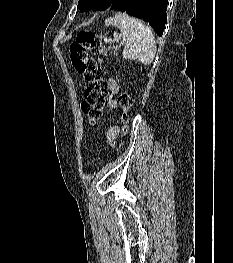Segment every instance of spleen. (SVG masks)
<instances>
[{
	"label": "spleen",
	"mask_w": 233,
	"mask_h": 263,
	"mask_svg": "<svg viewBox=\"0 0 233 263\" xmlns=\"http://www.w3.org/2000/svg\"><path fill=\"white\" fill-rule=\"evenodd\" d=\"M105 25L119 28L125 42L123 58L138 60L143 65H150L156 55L154 36L142 21L132 18L125 13H117L114 17L105 20Z\"/></svg>",
	"instance_id": "spleen-1"
}]
</instances>
